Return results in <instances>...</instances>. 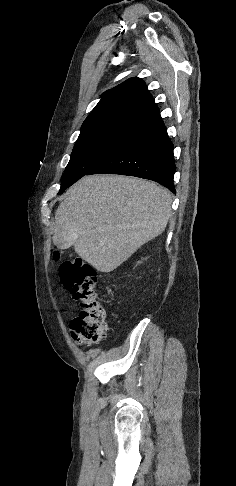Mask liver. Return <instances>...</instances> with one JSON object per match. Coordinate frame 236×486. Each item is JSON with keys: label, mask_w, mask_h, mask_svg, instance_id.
Here are the masks:
<instances>
[{"label": "liver", "mask_w": 236, "mask_h": 486, "mask_svg": "<svg viewBox=\"0 0 236 486\" xmlns=\"http://www.w3.org/2000/svg\"><path fill=\"white\" fill-rule=\"evenodd\" d=\"M66 195L55 213L56 229L66 231L75 252L104 273L160 235L171 216L170 192L136 177L86 176Z\"/></svg>", "instance_id": "obj_1"}]
</instances>
